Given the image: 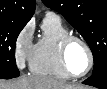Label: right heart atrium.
<instances>
[{
  "label": "right heart atrium",
  "mask_w": 107,
  "mask_h": 89,
  "mask_svg": "<svg viewBox=\"0 0 107 89\" xmlns=\"http://www.w3.org/2000/svg\"><path fill=\"white\" fill-rule=\"evenodd\" d=\"M33 37L34 26L32 23L26 24L16 37L14 54L16 63L21 69L30 62V57L34 48Z\"/></svg>",
  "instance_id": "obj_1"
}]
</instances>
